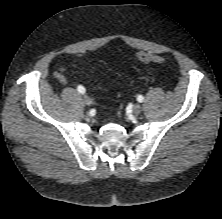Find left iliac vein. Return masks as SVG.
<instances>
[{
	"instance_id": "left-iliac-vein-1",
	"label": "left iliac vein",
	"mask_w": 222,
	"mask_h": 219,
	"mask_svg": "<svg viewBox=\"0 0 222 219\" xmlns=\"http://www.w3.org/2000/svg\"><path fill=\"white\" fill-rule=\"evenodd\" d=\"M141 110H142V107H141L140 104H135V105L133 106V113H134V114H139V113L141 112Z\"/></svg>"
}]
</instances>
